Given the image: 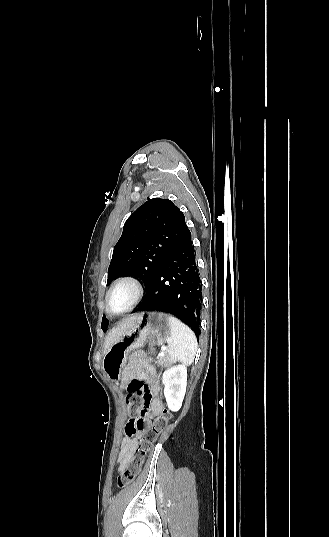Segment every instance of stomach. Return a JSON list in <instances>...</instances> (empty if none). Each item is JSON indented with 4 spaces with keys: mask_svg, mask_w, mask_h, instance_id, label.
I'll return each instance as SVG.
<instances>
[{
    "mask_svg": "<svg viewBox=\"0 0 329 537\" xmlns=\"http://www.w3.org/2000/svg\"><path fill=\"white\" fill-rule=\"evenodd\" d=\"M170 316L147 312L139 315L135 323L105 353L103 368L110 379L117 380L128 354L148 341L163 343L170 336Z\"/></svg>",
    "mask_w": 329,
    "mask_h": 537,
    "instance_id": "stomach-1",
    "label": "stomach"
}]
</instances>
